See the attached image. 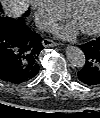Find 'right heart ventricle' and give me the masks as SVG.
<instances>
[{"label": "right heart ventricle", "mask_w": 100, "mask_h": 118, "mask_svg": "<svg viewBox=\"0 0 100 118\" xmlns=\"http://www.w3.org/2000/svg\"><path fill=\"white\" fill-rule=\"evenodd\" d=\"M53 1L60 10L66 11L67 8L76 0H53Z\"/></svg>", "instance_id": "obj_1"}]
</instances>
